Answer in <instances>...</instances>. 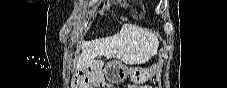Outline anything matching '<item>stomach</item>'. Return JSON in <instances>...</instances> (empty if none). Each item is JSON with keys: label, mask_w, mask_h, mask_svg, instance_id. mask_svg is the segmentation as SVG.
<instances>
[{"label": "stomach", "mask_w": 227, "mask_h": 88, "mask_svg": "<svg viewBox=\"0 0 227 88\" xmlns=\"http://www.w3.org/2000/svg\"><path fill=\"white\" fill-rule=\"evenodd\" d=\"M155 66L150 68L130 67L123 65L118 60H112L106 64L105 73L108 80L112 83L124 81L128 76L136 84L146 82L152 76Z\"/></svg>", "instance_id": "1"}]
</instances>
